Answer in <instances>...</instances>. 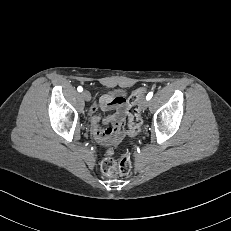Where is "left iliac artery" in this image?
<instances>
[{
    "label": "left iliac artery",
    "instance_id": "left-iliac-artery-1",
    "mask_svg": "<svg viewBox=\"0 0 231 231\" xmlns=\"http://www.w3.org/2000/svg\"><path fill=\"white\" fill-rule=\"evenodd\" d=\"M152 96H153V92H149V93L147 94V96H146V99H147V100H150V99L152 98Z\"/></svg>",
    "mask_w": 231,
    "mask_h": 231
}]
</instances>
